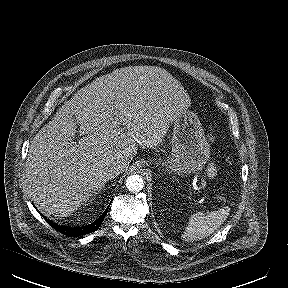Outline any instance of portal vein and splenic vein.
<instances>
[{
	"label": "portal vein and splenic vein",
	"instance_id": "portal-vein-and-splenic-vein-1",
	"mask_svg": "<svg viewBox=\"0 0 288 288\" xmlns=\"http://www.w3.org/2000/svg\"><path fill=\"white\" fill-rule=\"evenodd\" d=\"M80 133H81V132H80ZM81 134H83V133H81ZM200 182H201V187H202V189H206V187H207V182H206L203 178L200 179Z\"/></svg>",
	"mask_w": 288,
	"mask_h": 288
}]
</instances>
